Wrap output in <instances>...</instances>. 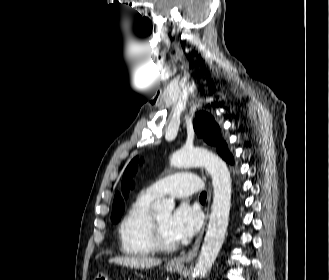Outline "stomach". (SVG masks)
<instances>
[{
    "instance_id": "stomach-1",
    "label": "stomach",
    "mask_w": 329,
    "mask_h": 280,
    "mask_svg": "<svg viewBox=\"0 0 329 280\" xmlns=\"http://www.w3.org/2000/svg\"><path fill=\"white\" fill-rule=\"evenodd\" d=\"M180 268H181V266H176V265H167L166 266V270L169 272H175V271L179 270ZM94 280H109V279L105 273L101 272V273L97 274V276L95 277Z\"/></svg>"
}]
</instances>
